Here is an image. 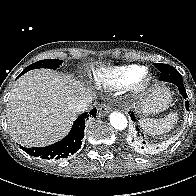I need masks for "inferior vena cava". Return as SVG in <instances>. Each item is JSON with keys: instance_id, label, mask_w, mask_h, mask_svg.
I'll use <instances>...</instances> for the list:
<instances>
[{"instance_id": "obj_1", "label": "inferior vena cava", "mask_w": 196, "mask_h": 196, "mask_svg": "<svg viewBox=\"0 0 196 196\" xmlns=\"http://www.w3.org/2000/svg\"><path fill=\"white\" fill-rule=\"evenodd\" d=\"M92 97L77 98L73 101L72 110L75 113H80L88 110L91 107Z\"/></svg>"}]
</instances>
